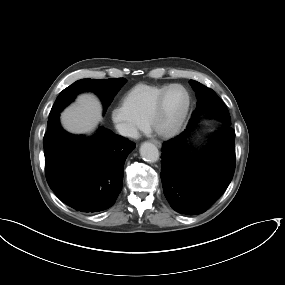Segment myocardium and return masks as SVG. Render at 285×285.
<instances>
[{
	"label": "myocardium",
	"instance_id": "1",
	"mask_svg": "<svg viewBox=\"0 0 285 285\" xmlns=\"http://www.w3.org/2000/svg\"><path fill=\"white\" fill-rule=\"evenodd\" d=\"M174 87H179L185 91L186 96H187V102H186L185 109H184L183 113L181 114V116L179 117V119L177 120V122L171 128L164 129V128H161L157 125V120L163 111L165 99H166L168 92ZM191 106H192V97H191V93L187 89V87H185L184 85L179 84V83L169 84L161 92L157 101L155 102V104L151 108V110H150V112L146 118V123L151 127V129L157 135H159L161 137H167V138L173 137V136L177 135L182 130L183 126L185 125L187 118L189 116L190 110H191Z\"/></svg>",
	"mask_w": 285,
	"mask_h": 285
}]
</instances>
